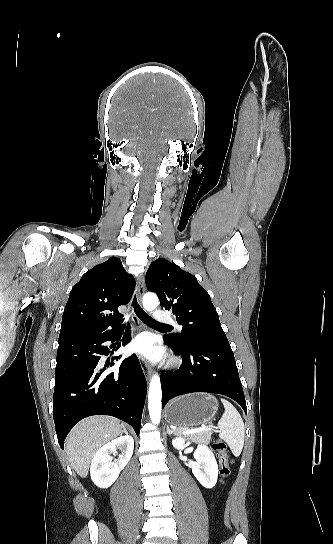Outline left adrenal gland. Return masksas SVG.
I'll list each match as a JSON object with an SVG mask.
<instances>
[{
    "label": "left adrenal gland",
    "instance_id": "1",
    "mask_svg": "<svg viewBox=\"0 0 333 544\" xmlns=\"http://www.w3.org/2000/svg\"><path fill=\"white\" fill-rule=\"evenodd\" d=\"M167 433H168L169 435H171V434L177 435V434H178L176 431L170 429V428L168 427V425H167Z\"/></svg>",
    "mask_w": 333,
    "mask_h": 544
}]
</instances>
